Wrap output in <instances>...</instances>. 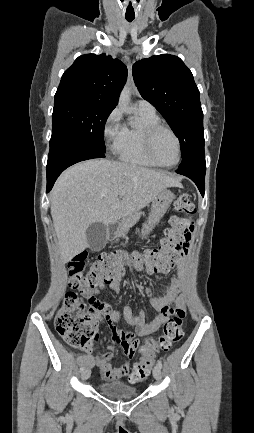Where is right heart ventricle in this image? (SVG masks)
<instances>
[{"label": "right heart ventricle", "instance_id": "obj_1", "mask_svg": "<svg viewBox=\"0 0 254 433\" xmlns=\"http://www.w3.org/2000/svg\"><path fill=\"white\" fill-rule=\"evenodd\" d=\"M139 123L125 125L115 145L118 158L126 163L153 168L156 165L148 158L143 145V133L147 126L159 123L155 112L138 111Z\"/></svg>", "mask_w": 254, "mask_h": 433}]
</instances>
